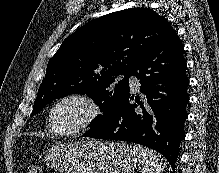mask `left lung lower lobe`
Returning a JSON list of instances; mask_svg holds the SVG:
<instances>
[{"mask_svg": "<svg viewBox=\"0 0 219 173\" xmlns=\"http://www.w3.org/2000/svg\"><path fill=\"white\" fill-rule=\"evenodd\" d=\"M184 47L175 30L142 55L132 74L140 80L146 99L131 104L126 95L109 120L96 131L83 136L123 140L141 144L164 155L173 170L185 137L184 123L189 102Z\"/></svg>", "mask_w": 219, "mask_h": 173, "instance_id": "obj_1", "label": "left lung lower lobe"}]
</instances>
